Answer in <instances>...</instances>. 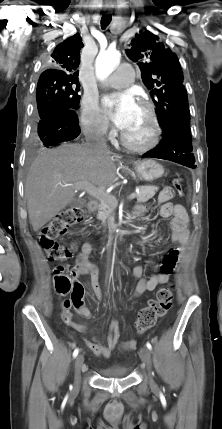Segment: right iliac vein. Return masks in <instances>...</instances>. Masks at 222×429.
<instances>
[{
  "label": "right iliac vein",
  "mask_w": 222,
  "mask_h": 429,
  "mask_svg": "<svg viewBox=\"0 0 222 429\" xmlns=\"http://www.w3.org/2000/svg\"><path fill=\"white\" fill-rule=\"evenodd\" d=\"M84 362L83 354H79L75 359L74 364V387L78 388L81 380V367Z\"/></svg>",
  "instance_id": "1"
}]
</instances>
